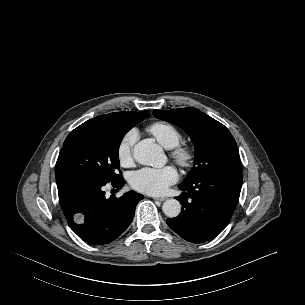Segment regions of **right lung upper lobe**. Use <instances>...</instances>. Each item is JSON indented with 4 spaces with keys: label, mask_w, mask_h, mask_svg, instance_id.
<instances>
[{
    "label": "right lung upper lobe",
    "mask_w": 305,
    "mask_h": 305,
    "mask_svg": "<svg viewBox=\"0 0 305 305\" xmlns=\"http://www.w3.org/2000/svg\"><path fill=\"white\" fill-rule=\"evenodd\" d=\"M147 116V111L143 112H115L98 116L100 118L111 119L121 122H141Z\"/></svg>",
    "instance_id": "1"
}]
</instances>
